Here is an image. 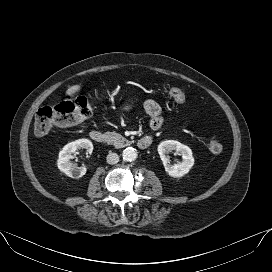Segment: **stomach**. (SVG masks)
<instances>
[{
    "mask_svg": "<svg viewBox=\"0 0 272 272\" xmlns=\"http://www.w3.org/2000/svg\"><path fill=\"white\" fill-rule=\"evenodd\" d=\"M130 108H131V106H129V105H126V106L123 107V109L126 110V111L130 110Z\"/></svg>",
    "mask_w": 272,
    "mask_h": 272,
    "instance_id": "stomach-1",
    "label": "stomach"
}]
</instances>
